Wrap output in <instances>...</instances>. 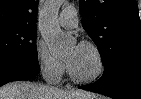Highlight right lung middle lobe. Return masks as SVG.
<instances>
[{"label":"right lung middle lobe","mask_w":141,"mask_h":99,"mask_svg":"<svg viewBox=\"0 0 141 99\" xmlns=\"http://www.w3.org/2000/svg\"><path fill=\"white\" fill-rule=\"evenodd\" d=\"M36 26L0 25V62L38 63Z\"/></svg>","instance_id":"obj_1"}]
</instances>
